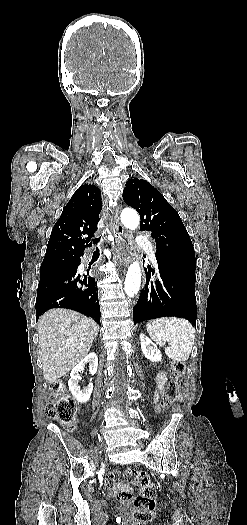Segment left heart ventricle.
<instances>
[{
	"instance_id": "b2bd125f",
	"label": "left heart ventricle",
	"mask_w": 247,
	"mask_h": 525,
	"mask_svg": "<svg viewBox=\"0 0 247 525\" xmlns=\"http://www.w3.org/2000/svg\"><path fill=\"white\" fill-rule=\"evenodd\" d=\"M138 265H139V264H130V267H135V268H136V267H138ZM120 324H125V323L122 322V323H120Z\"/></svg>"
}]
</instances>
